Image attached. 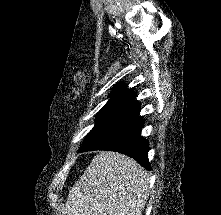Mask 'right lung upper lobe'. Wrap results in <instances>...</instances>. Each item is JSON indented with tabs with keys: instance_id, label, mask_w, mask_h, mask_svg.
I'll list each match as a JSON object with an SVG mask.
<instances>
[{
	"instance_id": "1",
	"label": "right lung upper lobe",
	"mask_w": 221,
	"mask_h": 215,
	"mask_svg": "<svg viewBox=\"0 0 221 215\" xmlns=\"http://www.w3.org/2000/svg\"><path fill=\"white\" fill-rule=\"evenodd\" d=\"M110 99L98 112L99 115L125 118L140 109L131 89L124 84L116 85L110 94Z\"/></svg>"
}]
</instances>
